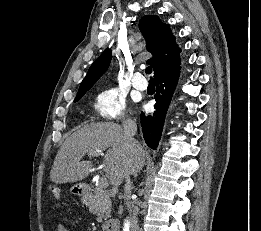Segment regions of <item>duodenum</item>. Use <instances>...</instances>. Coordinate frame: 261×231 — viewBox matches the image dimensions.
<instances>
[{
    "mask_svg": "<svg viewBox=\"0 0 261 231\" xmlns=\"http://www.w3.org/2000/svg\"><path fill=\"white\" fill-rule=\"evenodd\" d=\"M90 190V187H85L83 192L86 193ZM104 229L105 231H120V222L117 219H111L106 222Z\"/></svg>",
    "mask_w": 261,
    "mask_h": 231,
    "instance_id": "410a0bca",
    "label": "duodenum"
}]
</instances>
